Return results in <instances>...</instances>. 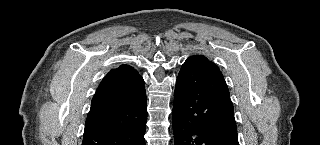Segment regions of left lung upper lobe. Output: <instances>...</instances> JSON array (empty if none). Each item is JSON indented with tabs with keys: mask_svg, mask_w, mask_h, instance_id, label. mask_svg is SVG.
Wrapping results in <instances>:
<instances>
[{
	"mask_svg": "<svg viewBox=\"0 0 320 145\" xmlns=\"http://www.w3.org/2000/svg\"><path fill=\"white\" fill-rule=\"evenodd\" d=\"M189 59H193L202 63H208L211 64L213 66H216L213 62L209 61L206 57H204L203 55H194L192 57H190Z\"/></svg>",
	"mask_w": 320,
	"mask_h": 145,
	"instance_id": "obj_1",
	"label": "left lung upper lobe"
}]
</instances>
